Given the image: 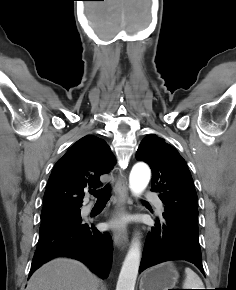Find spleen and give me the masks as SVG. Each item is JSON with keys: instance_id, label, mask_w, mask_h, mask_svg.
I'll return each instance as SVG.
<instances>
[{"instance_id": "3e777b00", "label": "spleen", "mask_w": 236, "mask_h": 290, "mask_svg": "<svg viewBox=\"0 0 236 290\" xmlns=\"http://www.w3.org/2000/svg\"><path fill=\"white\" fill-rule=\"evenodd\" d=\"M186 278L183 289H204V285L200 277L190 268L185 269Z\"/></svg>"}]
</instances>
